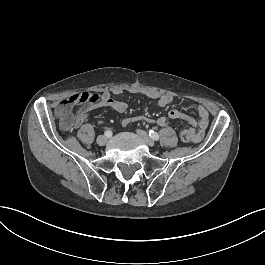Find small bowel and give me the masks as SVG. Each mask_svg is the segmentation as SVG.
<instances>
[{
  "instance_id": "obj_1",
  "label": "small bowel",
  "mask_w": 265,
  "mask_h": 265,
  "mask_svg": "<svg viewBox=\"0 0 265 265\" xmlns=\"http://www.w3.org/2000/svg\"><path fill=\"white\" fill-rule=\"evenodd\" d=\"M122 90H113L114 95H119ZM132 94H143L147 98L155 100L159 107H165L173 101V97L168 94H159L153 91H142L140 89H132ZM99 107H109L117 112H125L128 108L127 103L124 100L115 99L112 97L111 93L104 91L100 95V99L97 103L84 107L80 116L75 119L76 125H82L85 123L89 117V112L94 108ZM197 118H194L179 109H172L168 112L167 116H161L159 118H151L150 123L155 126L156 124L160 127H166L170 124V121H185L188 125H183V129H187L192 143L200 142L205 131L209 125V113L208 110L203 105H196ZM137 120L143 121L145 124L149 121L147 116L135 115L130 118L123 120L122 124L126 128L128 123L136 122Z\"/></svg>"
}]
</instances>
